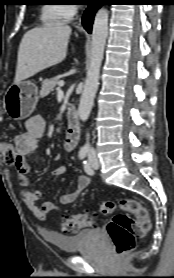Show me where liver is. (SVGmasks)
I'll return each instance as SVG.
<instances>
[{
  "instance_id": "liver-1",
  "label": "liver",
  "mask_w": 174,
  "mask_h": 278,
  "mask_svg": "<svg viewBox=\"0 0 174 278\" xmlns=\"http://www.w3.org/2000/svg\"><path fill=\"white\" fill-rule=\"evenodd\" d=\"M68 25L36 27L27 31L19 45L15 83L62 62L71 34Z\"/></svg>"
}]
</instances>
